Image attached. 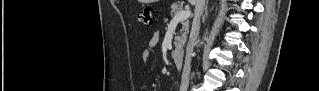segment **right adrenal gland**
<instances>
[{"label":"right adrenal gland","instance_id":"obj_1","mask_svg":"<svg viewBox=\"0 0 319 91\" xmlns=\"http://www.w3.org/2000/svg\"><path fill=\"white\" fill-rule=\"evenodd\" d=\"M208 15V0L206 2V6H205V14L203 16V22L205 21L206 16Z\"/></svg>","mask_w":319,"mask_h":91}]
</instances>
